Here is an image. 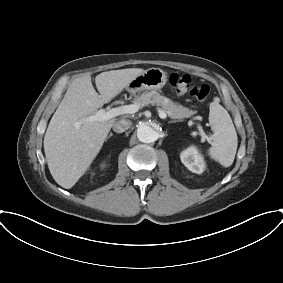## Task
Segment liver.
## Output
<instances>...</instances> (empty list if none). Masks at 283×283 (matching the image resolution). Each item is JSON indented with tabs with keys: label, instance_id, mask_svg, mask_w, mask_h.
<instances>
[{
	"label": "liver",
	"instance_id": "liver-1",
	"mask_svg": "<svg viewBox=\"0 0 283 283\" xmlns=\"http://www.w3.org/2000/svg\"><path fill=\"white\" fill-rule=\"evenodd\" d=\"M145 70L128 68L102 72L92 85L89 73L76 78L52 116L44 137V151L53 179L70 189L96 158L116 119L89 121L105 103L120 94Z\"/></svg>",
	"mask_w": 283,
	"mask_h": 283
}]
</instances>
